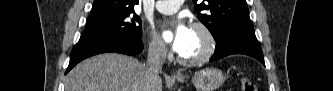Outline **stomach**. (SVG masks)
I'll return each instance as SVG.
<instances>
[{
    "label": "stomach",
    "mask_w": 333,
    "mask_h": 91,
    "mask_svg": "<svg viewBox=\"0 0 333 91\" xmlns=\"http://www.w3.org/2000/svg\"><path fill=\"white\" fill-rule=\"evenodd\" d=\"M179 82H183L184 78L178 77ZM225 81L223 72L216 68H206L197 72L192 78L197 91H215Z\"/></svg>",
    "instance_id": "0dacf381"
}]
</instances>
